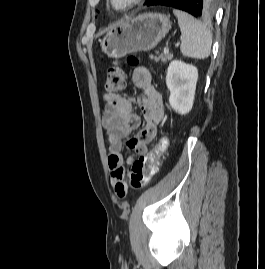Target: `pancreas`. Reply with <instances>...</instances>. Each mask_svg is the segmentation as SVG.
<instances>
[{
    "label": "pancreas",
    "mask_w": 265,
    "mask_h": 269,
    "mask_svg": "<svg viewBox=\"0 0 265 269\" xmlns=\"http://www.w3.org/2000/svg\"><path fill=\"white\" fill-rule=\"evenodd\" d=\"M150 57L155 62H158L161 60L163 63H166L167 61H170L173 58V54L171 53L157 54L155 56L151 55Z\"/></svg>",
    "instance_id": "pancreas-1"
}]
</instances>
